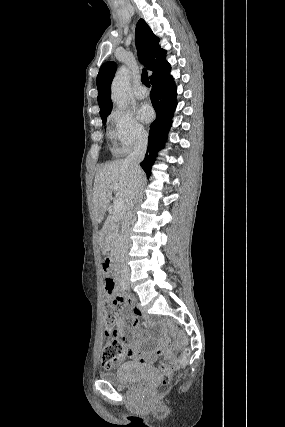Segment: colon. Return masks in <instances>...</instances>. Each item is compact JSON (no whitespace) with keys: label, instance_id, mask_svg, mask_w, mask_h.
Returning a JSON list of instances; mask_svg holds the SVG:
<instances>
[{"label":"colon","instance_id":"colon-1","mask_svg":"<svg viewBox=\"0 0 285 427\" xmlns=\"http://www.w3.org/2000/svg\"><path fill=\"white\" fill-rule=\"evenodd\" d=\"M101 269L104 276V285L106 290V299H105V307H106V315L104 319L105 323V333H106V344L101 352V363L105 368H112L116 362L122 357L124 354L129 352V348L120 340H118L115 336L116 332V320L117 313L120 310L122 305V300L119 298L117 294V283L114 277L112 276V263L109 259H103L101 262ZM178 336V335H177ZM179 337V336H178ZM176 349L168 350L163 352L158 350V354H164L166 357H172ZM188 351L184 350L177 357L176 363L178 367H182L186 364ZM164 378L160 383V387L162 389L168 388L170 381V370L171 365L170 362L165 361L162 363ZM153 394L157 393V390L154 389L152 391Z\"/></svg>","mask_w":285,"mask_h":427}]
</instances>
